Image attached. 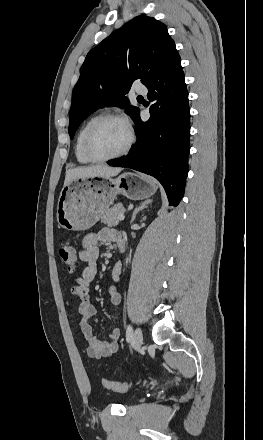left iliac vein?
<instances>
[{"instance_id":"4c4485c4","label":"left iliac vein","mask_w":263,"mask_h":440,"mask_svg":"<svg viewBox=\"0 0 263 440\" xmlns=\"http://www.w3.org/2000/svg\"><path fill=\"white\" fill-rule=\"evenodd\" d=\"M133 344L136 348H140L143 344V335L140 328H136L134 332Z\"/></svg>"}]
</instances>
